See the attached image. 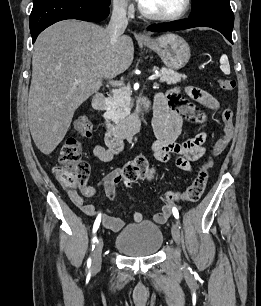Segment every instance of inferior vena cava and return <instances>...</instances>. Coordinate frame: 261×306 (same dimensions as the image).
I'll use <instances>...</instances> for the list:
<instances>
[{"label":"inferior vena cava","mask_w":261,"mask_h":306,"mask_svg":"<svg viewBox=\"0 0 261 306\" xmlns=\"http://www.w3.org/2000/svg\"><path fill=\"white\" fill-rule=\"evenodd\" d=\"M128 25L126 16V7L122 2H116L113 5L111 20L107 27L112 45H114L119 36H121Z\"/></svg>","instance_id":"inferior-vena-cava-1"}]
</instances>
